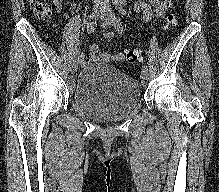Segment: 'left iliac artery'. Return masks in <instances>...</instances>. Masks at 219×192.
Returning <instances> with one entry per match:
<instances>
[{
	"mask_svg": "<svg viewBox=\"0 0 219 192\" xmlns=\"http://www.w3.org/2000/svg\"><path fill=\"white\" fill-rule=\"evenodd\" d=\"M117 29H118V32H119V33H123V31H124V28H123V26H122L120 20L117 21ZM142 70L148 71L147 66H146V65H143V66H142Z\"/></svg>",
	"mask_w": 219,
	"mask_h": 192,
	"instance_id": "left-iliac-artery-1",
	"label": "left iliac artery"
}]
</instances>
